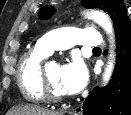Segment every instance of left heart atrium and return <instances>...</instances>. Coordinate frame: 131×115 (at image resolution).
Wrapping results in <instances>:
<instances>
[{"label": "left heart atrium", "instance_id": "obj_1", "mask_svg": "<svg viewBox=\"0 0 131 115\" xmlns=\"http://www.w3.org/2000/svg\"><path fill=\"white\" fill-rule=\"evenodd\" d=\"M87 73L84 65L74 60L60 68L59 84L60 89L68 95L79 92L86 83Z\"/></svg>", "mask_w": 131, "mask_h": 115}]
</instances>
